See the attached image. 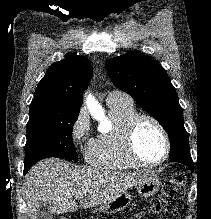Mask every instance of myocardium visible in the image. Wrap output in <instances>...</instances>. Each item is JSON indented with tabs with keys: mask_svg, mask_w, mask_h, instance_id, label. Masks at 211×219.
Returning a JSON list of instances; mask_svg holds the SVG:
<instances>
[{
	"mask_svg": "<svg viewBox=\"0 0 211 219\" xmlns=\"http://www.w3.org/2000/svg\"><path fill=\"white\" fill-rule=\"evenodd\" d=\"M144 120H148L152 122L159 129L164 139V144H165L164 154L159 161L154 163H148L143 161L139 157L136 149V141H135L136 131L140 122ZM124 147L128 158L135 165L142 168H157L162 166L168 160L171 153V142L166 128L156 117L150 114H136L127 122L124 129Z\"/></svg>",
	"mask_w": 211,
	"mask_h": 219,
	"instance_id": "1",
	"label": "myocardium"
}]
</instances>
